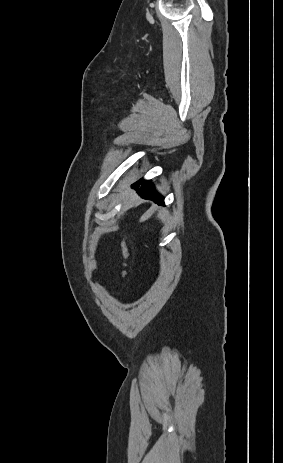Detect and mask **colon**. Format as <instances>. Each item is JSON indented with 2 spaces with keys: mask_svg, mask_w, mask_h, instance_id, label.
I'll use <instances>...</instances> for the list:
<instances>
[{
  "mask_svg": "<svg viewBox=\"0 0 283 463\" xmlns=\"http://www.w3.org/2000/svg\"><path fill=\"white\" fill-rule=\"evenodd\" d=\"M120 247H121L122 262H121V267L119 270V277L121 280V284L124 285V280L127 275V267H128V259H129V249H128L124 236H121Z\"/></svg>",
  "mask_w": 283,
  "mask_h": 463,
  "instance_id": "colon-1",
  "label": "colon"
}]
</instances>
